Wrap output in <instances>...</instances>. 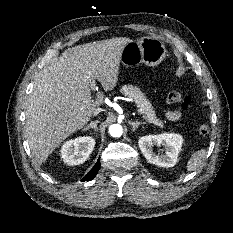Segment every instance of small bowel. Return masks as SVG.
<instances>
[{
  "mask_svg": "<svg viewBox=\"0 0 233 233\" xmlns=\"http://www.w3.org/2000/svg\"><path fill=\"white\" fill-rule=\"evenodd\" d=\"M165 115L169 120L172 121H176L181 117V114L178 110H167Z\"/></svg>",
  "mask_w": 233,
  "mask_h": 233,
  "instance_id": "1",
  "label": "small bowel"
}]
</instances>
